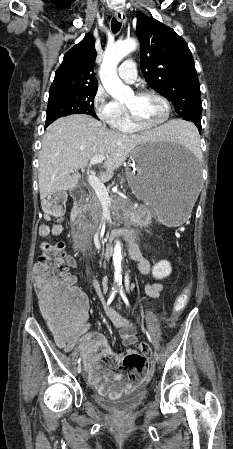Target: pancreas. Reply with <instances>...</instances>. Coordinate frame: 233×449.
Instances as JSON below:
<instances>
[{"mask_svg": "<svg viewBox=\"0 0 233 449\" xmlns=\"http://www.w3.org/2000/svg\"><path fill=\"white\" fill-rule=\"evenodd\" d=\"M84 210L90 213L92 218V228L96 229L103 216L104 210L100 200L95 194L89 195L88 201L84 205ZM112 211L119 217L130 219L132 224L137 227H147L154 216L151 209L145 206L134 208L122 198L115 199L112 205Z\"/></svg>", "mask_w": 233, "mask_h": 449, "instance_id": "cf45deb5", "label": "pancreas"}]
</instances>
